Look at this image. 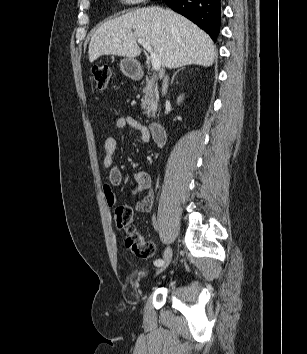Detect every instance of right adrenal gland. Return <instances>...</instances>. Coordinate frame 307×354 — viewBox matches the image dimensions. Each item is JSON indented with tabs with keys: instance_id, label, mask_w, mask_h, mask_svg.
I'll use <instances>...</instances> for the list:
<instances>
[{
	"instance_id": "1",
	"label": "right adrenal gland",
	"mask_w": 307,
	"mask_h": 354,
	"mask_svg": "<svg viewBox=\"0 0 307 354\" xmlns=\"http://www.w3.org/2000/svg\"><path fill=\"white\" fill-rule=\"evenodd\" d=\"M183 69V68H182ZM180 70H178L177 72H175V74L173 75V77H172V79H171V84L173 83V81H174V78H175V76L177 75V73L179 72Z\"/></svg>"
}]
</instances>
